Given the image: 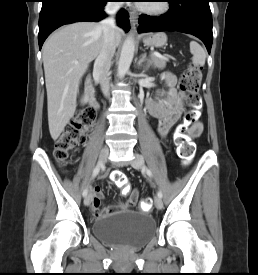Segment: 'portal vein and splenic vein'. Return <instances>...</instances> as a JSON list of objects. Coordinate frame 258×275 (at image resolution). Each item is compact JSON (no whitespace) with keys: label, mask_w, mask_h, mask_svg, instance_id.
Listing matches in <instances>:
<instances>
[{"label":"portal vein and splenic vein","mask_w":258,"mask_h":275,"mask_svg":"<svg viewBox=\"0 0 258 275\" xmlns=\"http://www.w3.org/2000/svg\"><path fill=\"white\" fill-rule=\"evenodd\" d=\"M152 55L157 56V57H159V58H161V59H163V60H168V57H167V56L161 55V54H159L158 52H152Z\"/></svg>","instance_id":"1"}]
</instances>
